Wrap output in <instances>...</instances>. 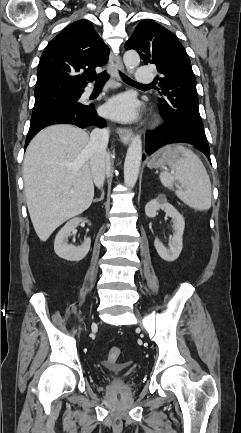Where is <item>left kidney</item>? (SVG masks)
<instances>
[{
    "instance_id": "1",
    "label": "left kidney",
    "mask_w": 241,
    "mask_h": 433,
    "mask_svg": "<svg viewBox=\"0 0 241 433\" xmlns=\"http://www.w3.org/2000/svg\"><path fill=\"white\" fill-rule=\"evenodd\" d=\"M159 209L164 210L166 215L172 218L174 233L170 239L169 248H166L158 238H155L154 246L163 260L173 262L179 257L182 251V236L185 221L183 216L174 208V206L167 202L166 197L163 195H159L157 198L146 204L145 214L147 217L153 218L156 216V212Z\"/></svg>"
}]
</instances>
